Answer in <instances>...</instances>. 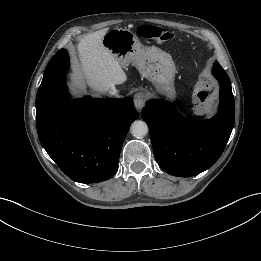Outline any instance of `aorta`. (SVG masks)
<instances>
[{
    "mask_svg": "<svg viewBox=\"0 0 261 261\" xmlns=\"http://www.w3.org/2000/svg\"><path fill=\"white\" fill-rule=\"evenodd\" d=\"M148 133V125L146 122L137 120L131 125V134L136 138H142Z\"/></svg>",
    "mask_w": 261,
    "mask_h": 261,
    "instance_id": "obj_1",
    "label": "aorta"
}]
</instances>
